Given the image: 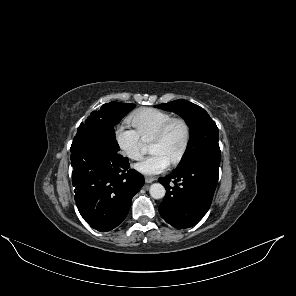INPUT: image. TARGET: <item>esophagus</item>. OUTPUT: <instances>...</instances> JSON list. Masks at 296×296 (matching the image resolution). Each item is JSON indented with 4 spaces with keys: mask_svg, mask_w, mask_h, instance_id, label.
Instances as JSON below:
<instances>
[{
    "mask_svg": "<svg viewBox=\"0 0 296 296\" xmlns=\"http://www.w3.org/2000/svg\"><path fill=\"white\" fill-rule=\"evenodd\" d=\"M155 180L153 177H145V182L146 183H152Z\"/></svg>",
    "mask_w": 296,
    "mask_h": 296,
    "instance_id": "esophagus-1",
    "label": "esophagus"
}]
</instances>
